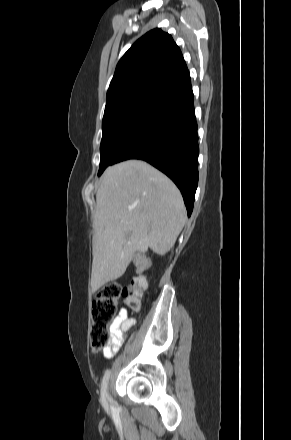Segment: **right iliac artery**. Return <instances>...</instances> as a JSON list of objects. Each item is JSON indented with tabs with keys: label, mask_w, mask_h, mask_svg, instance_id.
Wrapping results in <instances>:
<instances>
[{
	"label": "right iliac artery",
	"mask_w": 291,
	"mask_h": 440,
	"mask_svg": "<svg viewBox=\"0 0 291 440\" xmlns=\"http://www.w3.org/2000/svg\"><path fill=\"white\" fill-rule=\"evenodd\" d=\"M110 373H111L110 370L106 371L105 375L103 376L102 384H101V401H102V404L107 412L109 409H108V404H107L106 398L108 396L107 386H108V382H109V378H110Z\"/></svg>",
	"instance_id": "1"
}]
</instances>
